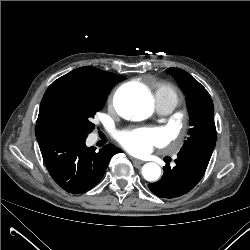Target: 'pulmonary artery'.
I'll return each instance as SVG.
<instances>
[{
    "mask_svg": "<svg viewBox=\"0 0 250 250\" xmlns=\"http://www.w3.org/2000/svg\"><path fill=\"white\" fill-rule=\"evenodd\" d=\"M156 109L159 114L166 115L172 112L174 106L172 104H158Z\"/></svg>",
    "mask_w": 250,
    "mask_h": 250,
    "instance_id": "obj_1",
    "label": "pulmonary artery"
}]
</instances>
